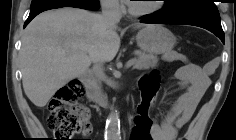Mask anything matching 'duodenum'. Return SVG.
I'll return each instance as SVG.
<instances>
[{
    "instance_id": "410a0bca",
    "label": "duodenum",
    "mask_w": 236,
    "mask_h": 140,
    "mask_svg": "<svg viewBox=\"0 0 236 140\" xmlns=\"http://www.w3.org/2000/svg\"><path fill=\"white\" fill-rule=\"evenodd\" d=\"M80 80L86 86V97L88 101L92 103H99L102 106L107 104L106 97L101 94L100 90L94 83V77L91 71H84L81 73Z\"/></svg>"
}]
</instances>
